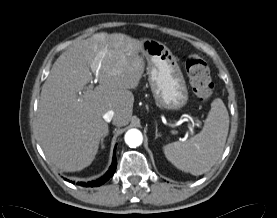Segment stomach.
I'll list each match as a JSON object with an SVG mask.
<instances>
[{"label": "stomach", "instance_id": "obj_1", "mask_svg": "<svg viewBox=\"0 0 277 218\" xmlns=\"http://www.w3.org/2000/svg\"><path fill=\"white\" fill-rule=\"evenodd\" d=\"M141 54L148 63V81L158 107L181 110L188 102V90L172 52L159 41L145 39Z\"/></svg>", "mask_w": 277, "mask_h": 218}]
</instances>
